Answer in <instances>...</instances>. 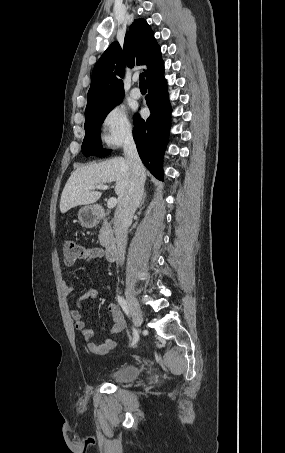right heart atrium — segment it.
<instances>
[{
	"label": "right heart atrium",
	"mask_w": 285,
	"mask_h": 453,
	"mask_svg": "<svg viewBox=\"0 0 285 453\" xmlns=\"http://www.w3.org/2000/svg\"><path fill=\"white\" fill-rule=\"evenodd\" d=\"M133 127L123 106L112 107L101 124V139L111 149L122 146L132 138Z\"/></svg>",
	"instance_id": "1"
}]
</instances>
